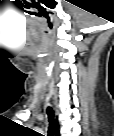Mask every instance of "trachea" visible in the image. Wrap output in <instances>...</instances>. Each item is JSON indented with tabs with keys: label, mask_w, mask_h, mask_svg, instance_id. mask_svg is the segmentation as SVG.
Returning a JSON list of instances; mask_svg holds the SVG:
<instances>
[{
	"label": "trachea",
	"mask_w": 114,
	"mask_h": 136,
	"mask_svg": "<svg viewBox=\"0 0 114 136\" xmlns=\"http://www.w3.org/2000/svg\"><path fill=\"white\" fill-rule=\"evenodd\" d=\"M47 115H48V119H49L48 135L51 136L53 134V130H54V112L51 107L47 108Z\"/></svg>",
	"instance_id": "3493384b"
}]
</instances>
